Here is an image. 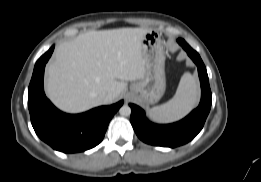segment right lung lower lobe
I'll return each mask as SVG.
<instances>
[{"mask_svg":"<svg viewBox=\"0 0 261 182\" xmlns=\"http://www.w3.org/2000/svg\"><path fill=\"white\" fill-rule=\"evenodd\" d=\"M53 50L54 46L37 60L34 67L28 89L31 123L36 134L53 149L64 153L82 152L103 140L109 121L123 101L76 115L59 111L43 90L44 68Z\"/></svg>","mask_w":261,"mask_h":182,"instance_id":"right-lung-lower-lobe-1","label":"right lung lower lobe"}]
</instances>
